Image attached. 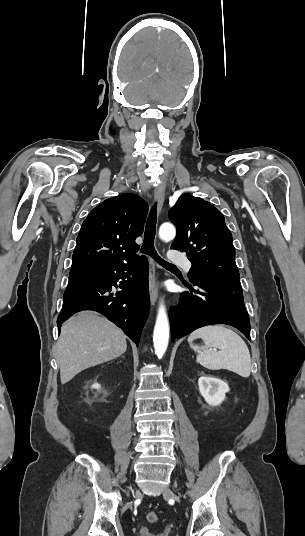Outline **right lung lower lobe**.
Returning <instances> with one entry per match:
<instances>
[{
  "label": "right lung lower lobe",
  "instance_id": "1",
  "mask_svg": "<svg viewBox=\"0 0 305 536\" xmlns=\"http://www.w3.org/2000/svg\"><path fill=\"white\" fill-rule=\"evenodd\" d=\"M119 279H122L119 285L122 291L114 294L112 286L117 288ZM149 309L148 261L141 256L94 272L69 276L57 325L79 311L94 310L115 323L138 345Z\"/></svg>",
  "mask_w": 305,
  "mask_h": 536
}]
</instances>
